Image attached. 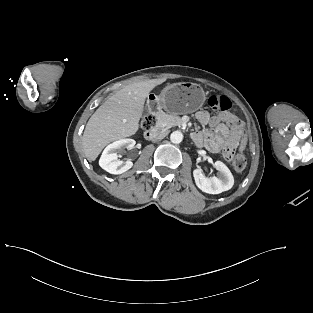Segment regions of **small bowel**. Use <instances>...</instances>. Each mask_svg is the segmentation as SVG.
Returning a JSON list of instances; mask_svg holds the SVG:
<instances>
[{
	"label": "small bowel",
	"mask_w": 313,
	"mask_h": 313,
	"mask_svg": "<svg viewBox=\"0 0 313 313\" xmlns=\"http://www.w3.org/2000/svg\"><path fill=\"white\" fill-rule=\"evenodd\" d=\"M197 120L205 128L193 133L198 145L205 146L211 152H219L227 146L244 150L247 140L243 132V123L231 113L210 116L207 111H199Z\"/></svg>",
	"instance_id": "1"
}]
</instances>
